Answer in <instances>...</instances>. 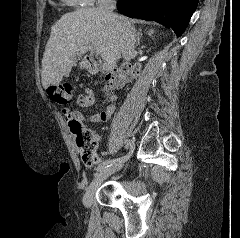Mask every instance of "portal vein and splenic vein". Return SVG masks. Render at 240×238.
Listing matches in <instances>:
<instances>
[{"instance_id": "18ae733b", "label": "portal vein and splenic vein", "mask_w": 240, "mask_h": 238, "mask_svg": "<svg viewBox=\"0 0 240 238\" xmlns=\"http://www.w3.org/2000/svg\"><path fill=\"white\" fill-rule=\"evenodd\" d=\"M85 48H86V50H89L91 53H94V49L91 45H87ZM112 66H113L112 62L105 61L103 68L110 69V68H112Z\"/></svg>"}]
</instances>
